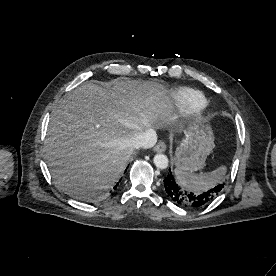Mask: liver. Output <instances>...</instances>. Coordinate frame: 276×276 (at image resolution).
Instances as JSON below:
<instances>
[{"label": "liver", "instance_id": "6515ba94", "mask_svg": "<svg viewBox=\"0 0 276 276\" xmlns=\"http://www.w3.org/2000/svg\"><path fill=\"white\" fill-rule=\"evenodd\" d=\"M111 85L78 86L50 116L47 164L58 189L80 200L114 186L134 152L131 137L178 118L159 83L116 79Z\"/></svg>", "mask_w": 276, "mask_h": 276}]
</instances>
